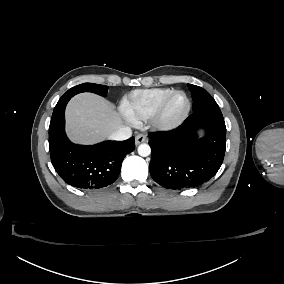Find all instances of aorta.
<instances>
[{"instance_id":"aorta-1","label":"aorta","mask_w":284,"mask_h":284,"mask_svg":"<svg viewBox=\"0 0 284 284\" xmlns=\"http://www.w3.org/2000/svg\"><path fill=\"white\" fill-rule=\"evenodd\" d=\"M138 154L142 157H147L151 154V148L148 144H140L138 146Z\"/></svg>"}]
</instances>
